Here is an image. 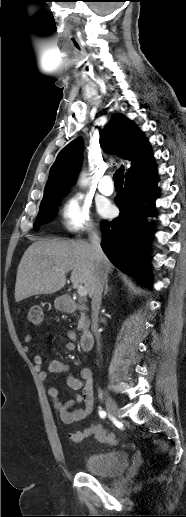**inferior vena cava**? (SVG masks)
Wrapping results in <instances>:
<instances>
[{"label":"inferior vena cava","mask_w":186,"mask_h":517,"mask_svg":"<svg viewBox=\"0 0 186 517\" xmlns=\"http://www.w3.org/2000/svg\"><path fill=\"white\" fill-rule=\"evenodd\" d=\"M101 239L97 231H93L91 234V244L95 252V257L97 260V268L93 283V297H92V331L97 339V350L100 352L101 344H100V333L98 332V313L102 300V292L103 288L107 283V272L105 271L102 265V259L104 258V253L101 249L100 245Z\"/></svg>","instance_id":"1"}]
</instances>
